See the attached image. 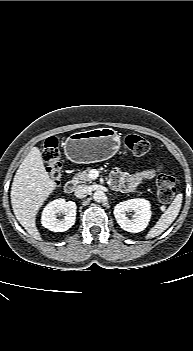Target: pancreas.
Masks as SVG:
<instances>
[{
    "label": "pancreas",
    "instance_id": "cf45deb5",
    "mask_svg": "<svg viewBox=\"0 0 193 351\" xmlns=\"http://www.w3.org/2000/svg\"><path fill=\"white\" fill-rule=\"evenodd\" d=\"M91 168H87L84 171L77 173L72 180V183L78 184L81 182H91L93 179L90 177Z\"/></svg>",
    "mask_w": 193,
    "mask_h": 351
}]
</instances>
